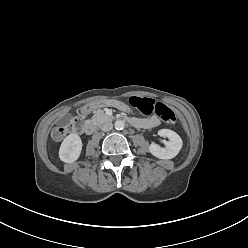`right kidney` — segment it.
<instances>
[{"instance_id": "right-kidney-1", "label": "right kidney", "mask_w": 248, "mask_h": 248, "mask_svg": "<svg viewBox=\"0 0 248 248\" xmlns=\"http://www.w3.org/2000/svg\"><path fill=\"white\" fill-rule=\"evenodd\" d=\"M82 141L79 135L69 134L63 140L59 149V158L65 163L75 162L81 153Z\"/></svg>"}]
</instances>
